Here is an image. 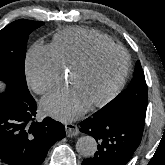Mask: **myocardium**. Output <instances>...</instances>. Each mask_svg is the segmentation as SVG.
<instances>
[{"label": "myocardium", "instance_id": "obj_1", "mask_svg": "<svg viewBox=\"0 0 165 165\" xmlns=\"http://www.w3.org/2000/svg\"><path fill=\"white\" fill-rule=\"evenodd\" d=\"M104 50L120 51L124 55V59H125L124 67L120 74V77L118 78L117 82L112 87V89L103 98L91 102L90 105L92 107L104 106L108 102H110L122 89L130 69V56L128 52L122 46L112 43V44L97 45L93 47L91 50H89V52L72 67V69L70 70V75L88 67L91 64V62L94 60V58L97 56V54Z\"/></svg>", "mask_w": 165, "mask_h": 165}]
</instances>
